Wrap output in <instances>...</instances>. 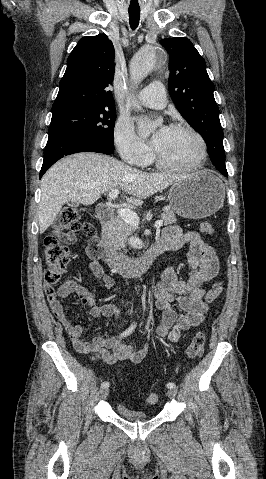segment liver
I'll return each mask as SVG.
<instances>
[{
	"mask_svg": "<svg viewBox=\"0 0 266 479\" xmlns=\"http://www.w3.org/2000/svg\"><path fill=\"white\" fill-rule=\"evenodd\" d=\"M184 175L146 173L98 153H77L53 165L42 177L38 208L40 234L53 223L69 202L91 205L101 195L122 189L132 195L127 201L140 206L146 199L184 179Z\"/></svg>",
	"mask_w": 266,
	"mask_h": 479,
	"instance_id": "1",
	"label": "liver"
}]
</instances>
